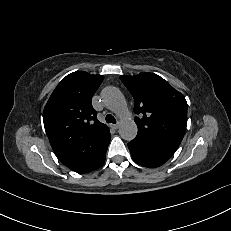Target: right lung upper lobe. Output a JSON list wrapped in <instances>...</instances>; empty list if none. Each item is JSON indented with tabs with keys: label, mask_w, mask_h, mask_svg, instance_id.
<instances>
[{
	"label": "right lung upper lobe",
	"mask_w": 231,
	"mask_h": 231,
	"mask_svg": "<svg viewBox=\"0 0 231 231\" xmlns=\"http://www.w3.org/2000/svg\"><path fill=\"white\" fill-rule=\"evenodd\" d=\"M103 79L102 75L73 72L61 80L44 108L50 144L59 160L72 170L90 160L110 133L97 120L91 104Z\"/></svg>",
	"instance_id": "1"
}]
</instances>
